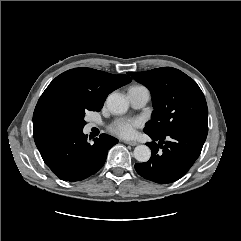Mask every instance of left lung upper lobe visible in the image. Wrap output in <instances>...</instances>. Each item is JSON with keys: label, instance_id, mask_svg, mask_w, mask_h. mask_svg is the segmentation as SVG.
I'll list each match as a JSON object with an SVG mask.
<instances>
[{"label": "left lung upper lobe", "instance_id": "obj_1", "mask_svg": "<svg viewBox=\"0 0 241 241\" xmlns=\"http://www.w3.org/2000/svg\"><path fill=\"white\" fill-rule=\"evenodd\" d=\"M145 85L153 100V117L144 132L168 135L195 126L208 127V108L197 83L182 71L156 68L144 72H128Z\"/></svg>", "mask_w": 241, "mask_h": 241}]
</instances>
